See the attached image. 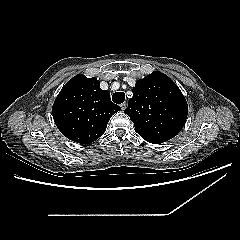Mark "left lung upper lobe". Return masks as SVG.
<instances>
[{
  "label": "left lung upper lobe",
  "instance_id": "5c2ea615",
  "mask_svg": "<svg viewBox=\"0 0 240 240\" xmlns=\"http://www.w3.org/2000/svg\"><path fill=\"white\" fill-rule=\"evenodd\" d=\"M125 113L134 123L135 131L155 144L168 141L181 131L188 105L178 86L156 71L136 82Z\"/></svg>",
  "mask_w": 240,
  "mask_h": 240
}]
</instances>
